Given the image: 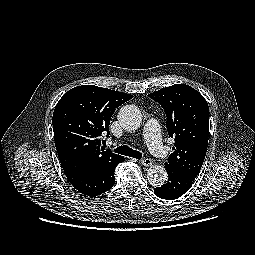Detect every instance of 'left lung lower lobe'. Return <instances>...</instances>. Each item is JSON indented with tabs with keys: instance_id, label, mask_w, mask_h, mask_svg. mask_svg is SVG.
Listing matches in <instances>:
<instances>
[{
	"instance_id": "left-lung-lower-lobe-1",
	"label": "left lung lower lobe",
	"mask_w": 255,
	"mask_h": 255,
	"mask_svg": "<svg viewBox=\"0 0 255 255\" xmlns=\"http://www.w3.org/2000/svg\"><path fill=\"white\" fill-rule=\"evenodd\" d=\"M168 180L161 187L154 188V193L162 199L174 200L185 194L192 186L195 178L174 169L165 163Z\"/></svg>"
}]
</instances>
